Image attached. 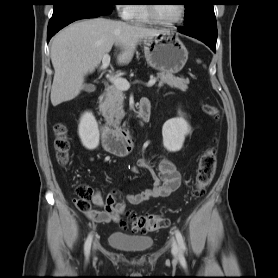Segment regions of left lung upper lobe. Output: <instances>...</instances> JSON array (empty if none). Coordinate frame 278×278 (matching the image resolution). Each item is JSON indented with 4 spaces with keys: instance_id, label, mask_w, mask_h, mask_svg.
I'll list each match as a JSON object with an SVG mask.
<instances>
[{
    "instance_id": "left-lung-upper-lobe-1",
    "label": "left lung upper lobe",
    "mask_w": 278,
    "mask_h": 278,
    "mask_svg": "<svg viewBox=\"0 0 278 278\" xmlns=\"http://www.w3.org/2000/svg\"><path fill=\"white\" fill-rule=\"evenodd\" d=\"M186 10L185 26L201 25L217 38V24L214 14V0H184Z\"/></svg>"
}]
</instances>
